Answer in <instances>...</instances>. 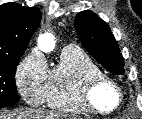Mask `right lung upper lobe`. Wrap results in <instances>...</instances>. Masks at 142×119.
<instances>
[{"mask_svg": "<svg viewBox=\"0 0 142 119\" xmlns=\"http://www.w3.org/2000/svg\"><path fill=\"white\" fill-rule=\"evenodd\" d=\"M41 12L38 8L17 3L0 6V58L23 55L38 28Z\"/></svg>", "mask_w": 142, "mask_h": 119, "instance_id": "cb5924a9", "label": "right lung upper lobe"}]
</instances>
